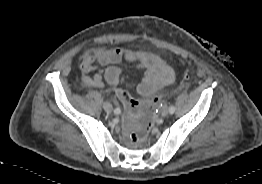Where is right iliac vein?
Returning <instances> with one entry per match:
<instances>
[{
  "mask_svg": "<svg viewBox=\"0 0 262 184\" xmlns=\"http://www.w3.org/2000/svg\"><path fill=\"white\" fill-rule=\"evenodd\" d=\"M103 108H104V110L106 111V112H112V110H113V107H112V105H111V103H109V102H105L104 104H103Z\"/></svg>",
  "mask_w": 262,
  "mask_h": 184,
  "instance_id": "63e3f726",
  "label": "right iliac vein"
}]
</instances>
